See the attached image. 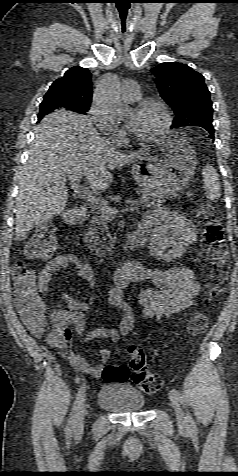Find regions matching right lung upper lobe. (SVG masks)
<instances>
[{
	"label": "right lung upper lobe",
	"instance_id": "right-lung-upper-lobe-1",
	"mask_svg": "<svg viewBox=\"0 0 238 476\" xmlns=\"http://www.w3.org/2000/svg\"><path fill=\"white\" fill-rule=\"evenodd\" d=\"M91 101V73L87 68L74 66L54 81L42 102L53 103L61 110L74 111L79 106L90 107Z\"/></svg>",
	"mask_w": 238,
	"mask_h": 476
}]
</instances>
